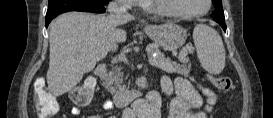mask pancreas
I'll return each mask as SVG.
<instances>
[{"label":"pancreas","mask_w":273,"mask_h":118,"mask_svg":"<svg viewBox=\"0 0 273 118\" xmlns=\"http://www.w3.org/2000/svg\"><path fill=\"white\" fill-rule=\"evenodd\" d=\"M152 52H156L157 56L153 58L151 61L152 65L168 72V73H177L184 76H189L191 66L188 64L189 58L187 54L191 51L182 50L178 59L182 63V65L172 62L169 58H165V55L161 53L157 48H150ZM121 67L115 66L105 77L103 86L104 88L110 92L111 94L118 93L123 90V72L121 71Z\"/></svg>","instance_id":"pancreas-1"}]
</instances>
